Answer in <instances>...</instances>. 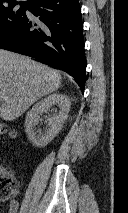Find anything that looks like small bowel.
Returning a JSON list of instances; mask_svg holds the SVG:
<instances>
[{
  "label": "small bowel",
  "instance_id": "small-bowel-1",
  "mask_svg": "<svg viewBox=\"0 0 128 213\" xmlns=\"http://www.w3.org/2000/svg\"><path fill=\"white\" fill-rule=\"evenodd\" d=\"M19 203L16 200L10 201L8 213H17Z\"/></svg>",
  "mask_w": 128,
  "mask_h": 213
}]
</instances>
